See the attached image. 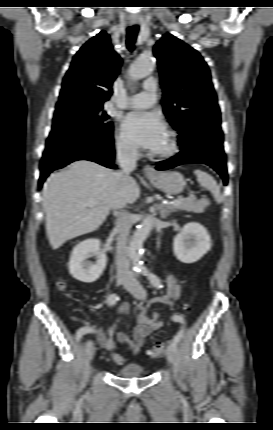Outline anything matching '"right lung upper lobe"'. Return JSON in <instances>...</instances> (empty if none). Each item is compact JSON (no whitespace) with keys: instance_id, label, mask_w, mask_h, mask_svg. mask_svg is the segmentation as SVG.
<instances>
[{"instance_id":"1","label":"right lung upper lobe","mask_w":273,"mask_h":430,"mask_svg":"<svg viewBox=\"0 0 273 430\" xmlns=\"http://www.w3.org/2000/svg\"><path fill=\"white\" fill-rule=\"evenodd\" d=\"M121 59L113 50L109 35L101 31L75 54L67 71L56 108L82 102L103 107L112 94Z\"/></svg>"}]
</instances>
